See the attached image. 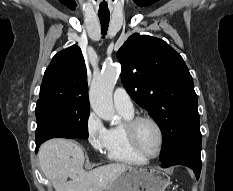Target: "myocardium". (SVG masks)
<instances>
[{
    "mask_svg": "<svg viewBox=\"0 0 233 191\" xmlns=\"http://www.w3.org/2000/svg\"><path fill=\"white\" fill-rule=\"evenodd\" d=\"M144 121H147V122H150L151 124H153L158 132V137H159L158 149H157L156 154L153 156H148V155L144 154L143 151L141 150L139 144H138L137 130H138L139 125ZM125 131H126V135H127V138H128V141H129L131 147L142 158H144L146 160H152V159L157 158L160 155L162 148H163L164 135H163V130L156 119H154L151 116H146V115L133 117L131 120H129L126 123Z\"/></svg>",
    "mask_w": 233,
    "mask_h": 191,
    "instance_id": "obj_1",
    "label": "myocardium"
}]
</instances>
